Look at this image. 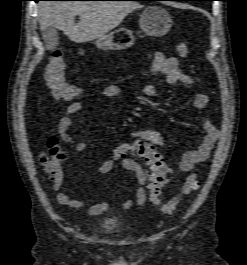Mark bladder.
<instances>
[{
  "label": "bladder",
  "instance_id": "1",
  "mask_svg": "<svg viewBox=\"0 0 247 265\" xmlns=\"http://www.w3.org/2000/svg\"><path fill=\"white\" fill-rule=\"evenodd\" d=\"M119 226H120V219L114 216L106 217L101 223V228L106 232L114 231Z\"/></svg>",
  "mask_w": 247,
  "mask_h": 265
}]
</instances>
